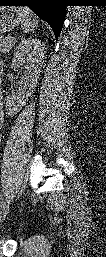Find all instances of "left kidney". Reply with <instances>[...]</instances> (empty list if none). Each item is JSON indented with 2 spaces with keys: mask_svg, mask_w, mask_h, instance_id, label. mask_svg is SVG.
Returning <instances> with one entry per match:
<instances>
[{
  "mask_svg": "<svg viewBox=\"0 0 106 257\" xmlns=\"http://www.w3.org/2000/svg\"><path fill=\"white\" fill-rule=\"evenodd\" d=\"M44 54V44L32 37L22 40L14 50L11 68L15 69L23 65L25 70L21 78L23 88L20 89V93L7 97L6 106L9 111H16V103H21L25 95L35 86L41 72Z\"/></svg>",
  "mask_w": 106,
  "mask_h": 257,
  "instance_id": "left-kidney-1",
  "label": "left kidney"
}]
</instances>
